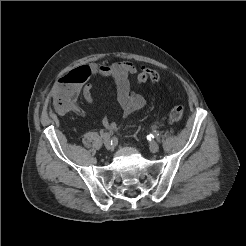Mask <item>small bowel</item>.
Returning a JSON list of instances; mask_svg holds the SVG:
<instances>
[{
    "label": "small bowel",
    "instance_id": "c3829d8e",
    "mask_svg": "<svg viewBox=\"0 0 246 246\" xmlns=\"http://www.w3.org/2000/svg\"><path fill=\"white\" fill-rule=\"evenodd\" d=\"M136 72V67L129 61H119L108 65L97 63L81 65L63 75L53 88L51 96L54 109L59 115H65L71 111L80 113L81 110L77 105L78 96L82 94L88 103H92V87L87 81L91 76H101L113 80L123 116L129 117L146 104L145 98L131 88L129 78ZM102 123L108 131H114L117 128L116 122L107 117L103 118Z\"/></svg>",
    "mask_w": 246,
    "mask_h": 246
}]
</instances>
